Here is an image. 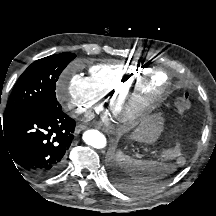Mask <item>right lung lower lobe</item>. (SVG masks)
I'll use <instances>...</instances> for the list:
<instances>
[{
	"instance_id": "obj_1",
	"label": "right lung lower lobe",
	"mask_w": 216,
	"mask_h": 216,
	"mask_svg": "<svg viewBox=\"0 0 216 216\" xmlns=\"http://www.w3.org/2000/svg\"><path fill=\"white\" fill-rule=\"evenodd\" d=\"M74 128L60 104L32 109L0 121V153L36 177L53 176L64 166Z\"/></svg>"
}]
</instances>
